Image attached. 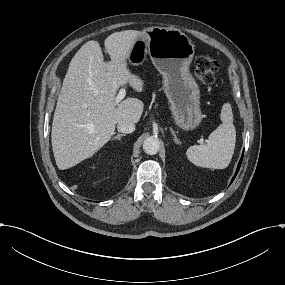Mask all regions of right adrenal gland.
Masks as SVG:
<instances>
[{
    "label": "right adrenal gland",
    "mask_w": 285,
    "mask_h": 285,
    "mask_svg": "<svg viewBox=\"0 0 285 285\" xmlns=\"http://www.w3.org/2000/svg\"><path fill=\"white\" fill-rule=\"evenodd\" d=\"M126 136V134H117L116 137L112 138L111 141H121V137Z\"/></svg>",
    "instance_id": "1"
}]
</instances>
